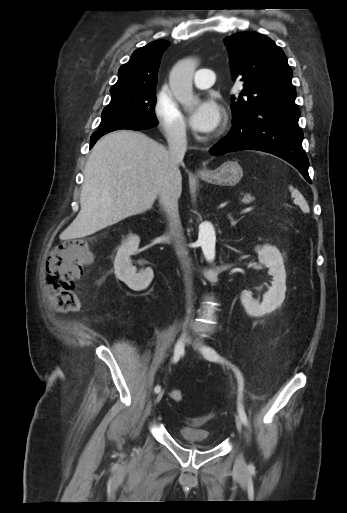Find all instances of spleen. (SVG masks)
I'll return each instance as SVG.
<instances>
[{
    "label": "spleen",
    "instance_id": "obj_1",
    "mask_svg": "<svg viewBox=\"0 0 347 513\" xmlns=\"http://www.w3.org/2000/svg\"><path fill=\"white\" fill-rule=\"evenodd\" d=\"M289 190L291 192V197L294 199V203L298 205L303 212H309V206L299 190L294 188L292 185L289 186Z\"/></svg>",
    "mask_w": 347,
    "mask_h": 513
}]
</instances>
